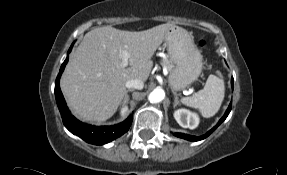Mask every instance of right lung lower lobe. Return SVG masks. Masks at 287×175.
<instances>
[{
    "instance_id": "98d812e1",
    "label": "right lung lower lobe",
    "mask_w": 287,
    "mask_h": 175,
    "mask_svg": "<svg viewBox=\"0 0 287 175\" xmlns=\"http://www.w3.org/2000/svg\"><path fill=\"white\" fill-rule=\"evenodd\" d=\"M73 44L71 45L68 52L71 51ZM68 62V57L65 59L60 68L55 81V97L57 106L61 113V117L65 127L74 135L79 136L84 141L95 144L103 145L106 144L128 131L132 123V116H129L125 121L117 125L112 126H94L80 122L76 119L69 111L62 92L59 87V79Z\"/></svg>"
}]
</instances>
